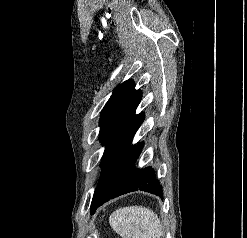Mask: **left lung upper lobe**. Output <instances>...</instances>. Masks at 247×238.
<instances>
[{
  "mask_svg": "<svg viewBox=\"0 0 247 238\" xmlns=\"http://www.w3.org/2000/svg\"><path fill=\"white\" fill-rule=\"evenodd\" d=\"M141 98V91L135 90L134 82L128 80L115 88L102 110L100 142L106 146V149L100 165L103 172L98 186L106 169L129 143L144 121L143 113L135 114ZM97 188L93 196L91 214L97 209Z\"/></svg>",
  "mask_w": 247,
  "mask_h": 238,
  "instance_id": "1",
  "label": "left lung upper lobe"
}]
</instances>
